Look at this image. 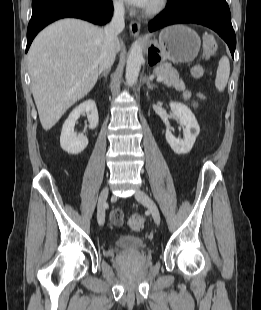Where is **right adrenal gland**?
Returning a JSON list of instances; mask_svg holds the SVG:
<instances>
[{
	"mask_svg": "<svg viewBox=\"0 0 261 310\" xmlns=\"http://www.w3.org/2000/svg\"><path fill=\"white\" fill-rule=\"evenodd\" d=\"M108 74H109V70H105L104 72L99 71V78H101L102 76L107 78Z\"/></svg>",
	"mask_w": 261,
	"mask_h": 310,
	"instance_id": "1",
	"label": "right adrenal gland"
}]
</instances>
